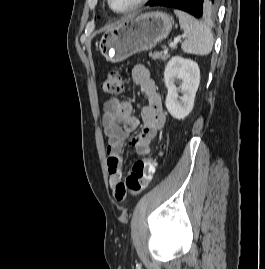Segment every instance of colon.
Masks as SVG:
<instances>
[{"label":"colon","instance_id":"obj_1","mask_svg":"<svg viewBox=\"0 0 265 269\" xmlns=\"http://www.w3.org/2000/svg\"><path fill=\"white\" fill-rule=\"evenodd\" d=\"M124 89V80L121 73L116 69L108 71L103 82L102 90L109 95H118ZM155 161L151 158L137 160L123 183V187L117 188V198L124 199L127 194L137 195L150 185L155 174Z\"/></svg>","mask_w":265,"mask_h":269}]
</instances>
